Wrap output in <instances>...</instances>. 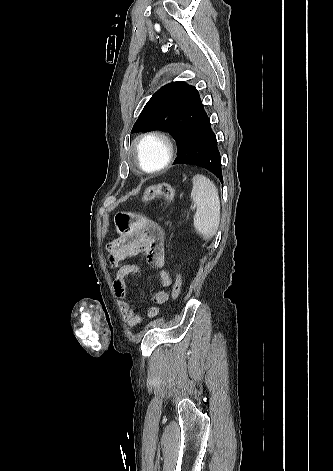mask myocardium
Returning a JSON list of instances; mask_svg holds the SVG:
<instances>
[{"label":"myocardium","instance_id":"obj_1","mask_svg":"<svg viewBox=\"0 0 333 471\" xmlns=\"http://www.w3.org/2000/svg\"><path fill=\"white\" fill-rule=\"evenodd\" d=\"M149 141L158 142L159 144H161L164 150V157L161 163L154 168L145 167L141 159V148L145 143ZM133 149L136 165L143 172L149 174L157 173L165 169L171 162L174 153V146L171 139L165 133L160 131H150L142 134L134 142Z\"/></svg>","mask_w":333,"mask_h":471}]
</instances>
